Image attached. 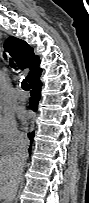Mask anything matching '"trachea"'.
I'll return each instance as SVG.
<instances>
[{
	"instance_id": "3493384b",
	"label": "trachea",
	"mask_w": 89,
	"mask_h": 203,
	"mask_svg": "<svg viewBox=\"0 0 89 203\" xmlns=\"http://www.w3.org/2000/svg\"><path fill=\"white\" fill-rule=\"evenodd\" d=\"M10 65L14 69H16V66H15L14 62L12 61V59H10ZM21 87L24 90H29L30 89L26 79H23Z\"/></svg>"
}]
</instances>
